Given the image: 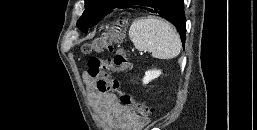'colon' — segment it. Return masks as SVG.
Wrapping results in <instances>:
<instances>
[{
    "label": "colon",
    "mask_w": 257,
    "mask_h": 130,
    "mask_svg": "<svg viewBox=\"0 0 257 130\" xmlns=\"http://www.w3.org/2000/svg\"><path fill=\"white\" fill-rule=\"evenodd\" d=\"M126 19L120 18L112 22L108 29L91 42L83 45L85 54L101 52L110 48L113 43L119 44L125 36ZM131 68V62L124 48L118 46L112 58L91 57L88 61V74L96 80L97 89L103 93H117L120 102L126 107H133L137 114L148 119L152 109L143 102L136 101L133 96L120 88V82L112 72H125Z\"/></svg>",
    "instance_id": "colon-1"
}]
</instances>
